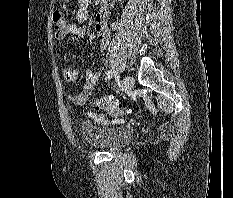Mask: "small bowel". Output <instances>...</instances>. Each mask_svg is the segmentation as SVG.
<instances>
[{"mask_svg": "<svg viewBox=\"0 0 233 198\" xmlns=\"http://www.w3.org/2000/svg\"><path fill=\"white\" fill-rule=\"evenodd\" d=\"M92 0H79V10L77 12V23L67 24L63 30L55 34L56 39L62 40L66 36H71L72 42H78L85 38L86 28L83 23L87 20L88 12L87 8ZM108 18L109 9L104 6L95 16V31L98 35L100 46L102 49H106L110 43V32L108 29ZM63 78L68 82H73L77 80L79 76V70L77 68H64L62 71ZM100 78V73L92 70H87L85 75V84L80 93L70 94L69 100L74 105H83L90 98L92 92L94 91L98 80ZM96 119L100 121H105L103 116L95 115Z\"/></svg>", "mask_w": 233, "mask_h": 198, "instance_id": "1", "label": "small bowel"}]
</instances>
